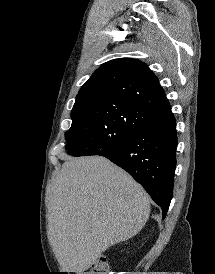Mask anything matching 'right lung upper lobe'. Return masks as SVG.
I'll return each instance as SVG.
<instances>
[{
	"instance_id": "1",
	"label": "right lung upper lobe",
	"mask_w": 215,
	"mask_h": 274,
	"mask_svg": "<svg viewBox=\"0 0 215 274\" xmlns=\"http://www.w3.org/2000/svg\"><path fill=\"white\" fill-rule=\"evenodd\" d=\"M96 100L122 101L155 115L171 109L158 78L133 58L104 63L81 87L75 104Z\"/></svg>"
}]
</instances>
